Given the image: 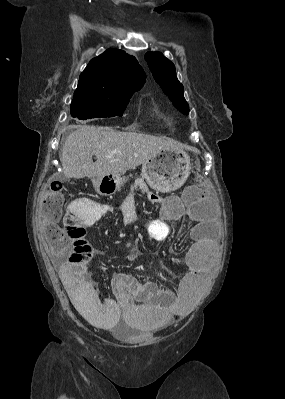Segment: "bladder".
<instances>
[{
    "label": "bladder",
    "instance_id": "bladder-1",
    "mask_svg": "<svg viewBox=\"0 0 285 399\" xmlns=\"http://www.w3.org/2000/svg\"><path fill=\"white\" fill-rule=\"evenodd\" d=\"M114 334H116V335H121V336H126V335H139V333L138 332H132V331H130V330H127V331H123V332H119V330H118V328H114V329H112L111 330Z\"/></svg>",
    "mask_w": 285,
    "mask_h": 399
}]
</instances>
